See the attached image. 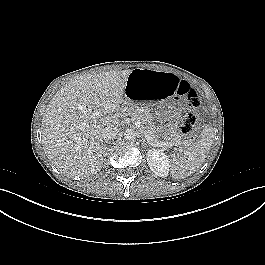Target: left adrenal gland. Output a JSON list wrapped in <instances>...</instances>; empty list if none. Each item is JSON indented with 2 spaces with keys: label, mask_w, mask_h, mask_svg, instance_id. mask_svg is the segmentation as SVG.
<instances>
[{
  "label": "left adrenal gland",
  "mask_w": 265,
  "mask_h": 265,
  "mask_svg": "<svg viewBox=\"0 0 265 265\" xmlns=\"http://www.w3.org/2000/svg\"><path fill=\"white\" fill-rule=\"evenodd\" d=\"M142 139H143V143L142 144L144 146V144H145V138L142 136Z\"/></svg>",
  "instance_id": "1"
}]
</instances>
